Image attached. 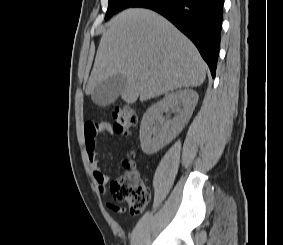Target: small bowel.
<instances>
[{
    "mask_svg": "<svg viewBox=\"0 0 283 245\" xmlns=\"http://www.w3.org/2000/svg\"><path fill=\"white\" fill-rule=\"evenodd\" d=\"M111 132V125L107 122L90 121L87 122L84 127L86 151L93 168L94 178L101 192H105L106 186L109 182V177L99 167V161L96 153L97 136L99 134L109 135ZM108 206L114 211L122 210L121 208H118L112 204H108Z\"/></svg>",
    "mask_w": 283,
    "mask_h": 245,
    "instance_id": "obj_1",
    "label": "small bowel"
}]
</instances>
